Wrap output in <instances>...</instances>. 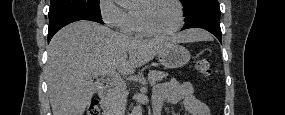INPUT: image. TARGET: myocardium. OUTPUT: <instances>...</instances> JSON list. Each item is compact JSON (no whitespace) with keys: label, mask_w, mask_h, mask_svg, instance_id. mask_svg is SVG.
<instances>
[{"label":"myocardium","mask_w":285,"mask_h":115,"mask_svg":"<svg viewBox=\"0 0 285 115\" xmlns=\"http://www.w3.org/2000/svg\"><path fill=\"white\" fill-rule=\"evenodd\" d=\"M155 1H161V0H144L142 1V4L145 5V4L155 2ZM165 1L171 2L172 4L175 5L177 9V15H178L177 26L174 29L167 31V32L155 31L146 24L142 14L139 11H137L139 25L146 35L154 36V37H167V36H172L176 34L181 29L183 22H184V11H183V6L181 2L179 0H165Z\"/></svg>","instance_id":"f54148a6"}]
</instances>
